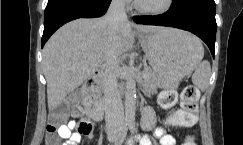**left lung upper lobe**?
I'll use <instances>...</instances> for the list:
<instances>
[{"label": "left lung upper lobe", "instance_id": "obj_1", "mask_svg": "<svg viewBox=\"0 0 243 145\" xmlns=\"http://www.w3.org/2000/svg\"><path fill=\"white\" fill-rule=\"evenodd\" d=\"M171 7L194 16H215L214 0H172Z\"/></svg>", "mask_w": 243, "mask_h": 145}]
</instances>
